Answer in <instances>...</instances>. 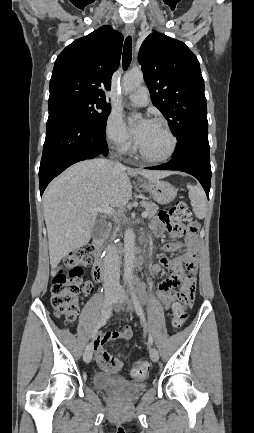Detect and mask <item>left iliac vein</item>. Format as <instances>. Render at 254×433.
Listing matches in <instances>:
<instances>
[{
	"label": "left iliac vein",
	"mask_w": 254,
	"mask_h": 433,
	"mask_svg": "<svg viewBox=\"0 0 254 433\" xmlns=\"http://www.w3.org/2000/svg\"><path fill=\"white\" fill-rule=\"evenodd\" d=\"M115 302L117 308H120L122 305H124L127 310H132L134 307L133 299L124 294L121 290L117 292ZM149 353L152 361L157 362L159 360V353L155 347H150Z\"/></svg>",
	"instance_id": "obj_1"
}]
</instances>
